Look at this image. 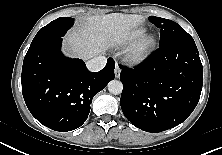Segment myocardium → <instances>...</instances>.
<instances>
[{"mask_svg":"<svg viewBox=\"0 0 222 155\" xmlns=\"http://www.w3.org/2000/svg\"><path fill=\"white\" fill-rule=\"evenodd\" d=\"M156 44L157 38L155 35L143 36L128 53V60L134 65L143 63L150 56Z\"/></svg>","mask_w":222,"mask_h":155,"instance_id":"obj_1","label":"myocardium"}]
</instances>
